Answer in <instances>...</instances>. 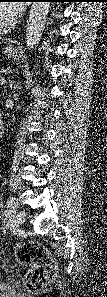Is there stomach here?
<instances>
[{
	"instance_id": "1",
	"label": "stomach",
	"mask_w": 107,
	"mask_h": 297,
	"mask_svg": "<svg viewBox=\"0 0 107 297\" xmlns=\"http://www.w3.org/2000/svg\"><path fill=\"white\" fill-rule=\"evenodd\" d=\"M3 53L8 59H16L18 57V50L12 46L5 47Z\"/></svg>"
}]
</instances>
